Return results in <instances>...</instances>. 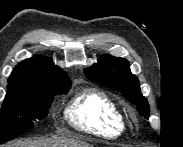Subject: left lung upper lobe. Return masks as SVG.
Listing matches in <instances>:
<instances>
[{"instance_id": "obj_1", "label": "left lung upper lobe", "mask_w": 183, "mask_h": 147, "mask_svg": "<svg viewBox=\"0 0 183 147\" xmlns=\"http://www.w3.org/2000/svg\"><path fill=\"white\" fill-rule=\"evenodd\" d=\"M84 73L89 80L121 92L126 99L137 106L142 116L149 118L148 101L141 94L139 80L131 73L126 59L104 55L96 64L85 69Z\"/></svg>"}]
</instances>
